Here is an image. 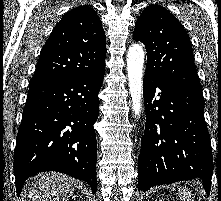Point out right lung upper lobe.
I'll return each instance as SVG.
<instances>
[{"instance_id":"obj_1","label":"right lung upper lobe","mask_w":221,"mask_h":201,"mask_svg":"<svg viewBox=\"0 0 221 201\" xmlns=\"http://www.w3.org/2000/svg\"><path fill=\"white\" fill-rule=\"evenodd\" d=\"M105 32L95 10L72 9L43 46L32 79H68L104 70Z\"/></svg>"}]
</instances>
